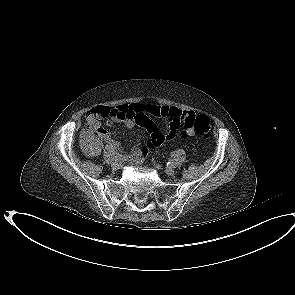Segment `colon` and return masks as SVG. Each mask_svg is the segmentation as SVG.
<instances>
[{"mask_svg":"<svg viewBox=\"0 0 295 295\" xmlns=\"http://www.w3.org/2000/svg\"><path fill=\"white\" fill-rule=\"evenodd\" d=\"M184 122L186 127L193 128L195 132L202 137H208L212 129L211 121L205 115H194L185 119ZM92 136L93 135L86 139L82 137V144L85 149L89 148Z\"/></svg>","mask_w":295,"mask_h":295,"instance_id":"1","label":"colon"}]
</instances>
